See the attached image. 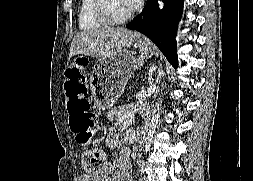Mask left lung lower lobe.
<instances>
[{
  "label": "left lung lower lobe",
  "mask_w": 253,
  "mask_h": 181,
  "mask_svg": "<svg viewBox=\"0 0 253 181\" xmlns=\"http://www.w3.org/2000/svg\"><path fill=\"white\" fill-rule=\"evenodd\" d=\"M182 7L183 0H164V8L160 10L157 0H147L142 12L126 25L150 38L175 68L178 65L175 33Z\"/></svg>",
  "instance_id": "left-lung-lower-lobe-1"
}]
</instances>
